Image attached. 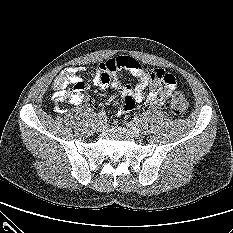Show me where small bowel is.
I'll list each match as a JSON object with an SVG mask.
<instances>
[{"label": "small bowel", "mask_w": 233, "mask_h": 233, "mask_svg": "<svg viewBox=\"0 0 233 233\" xmlns=\"http://www.w3.org/2000/svg\"><path fill=\"white\" fill-rule=\"evenodd\" d=\"M84 67H68L62 70L52 84L53 99L58 104H63L66 97L65 88L69 83L82 84L81 73ZM128 73L138 80L135 87H121L120 79ZM94 84L100 88L112 86L118 93L120 104L117 114L128 113L143 103L163 105L167 102L176 89V78L173 74L163 69H150L142 66L135 59L128 56L111 58L100 63L93 71ZM87 100L84 95L80 100H72L79 104Z\"/></svg>", "instance_id": "1"}]
</instances>
